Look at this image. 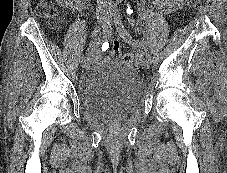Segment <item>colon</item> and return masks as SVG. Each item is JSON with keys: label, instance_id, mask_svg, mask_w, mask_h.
I'll return each mask as SVG.
<instances>
[{"label": "colon", "instance_id": "colon-1", "mask_svg": "<svg viewBox=\"0 0 227 173\" xmlns=\"http://www.w3.org/2000/svg\"><path fill=\"white\" fill-rule=\"evenodd\" d=\"M188 4L190 7L194 9L198 8H204L206 7L210 0H187ZM37 12L39 16L49 19V20H56L57 19V12L53 8V6L49 3L48 0H40L38 7H37ZM53 27L56 28L57 24L54 23ZM112 56L115 59L122 60L126 63H133L135 61V57L131 53H124L120 49V44L118 41H114L112 43Z\"/></svg>", "mask_w": 227, "mask_h": 173}]
</instances>
